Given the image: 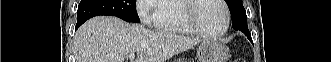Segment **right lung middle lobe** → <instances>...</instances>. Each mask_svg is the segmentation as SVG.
<instances>
[{"label": "right lung middle lobe", "instance_id": "obj_1", "mask_svg": "<svg viewBox=\"0 0 331 62\" xmlns=\"http://www.w3.org/2000/svg\"><path fill=\"white\" fill-rule=\"evenodd\" d=\"M136 0H81L77 11V25L98 15L119 17L127 22H140Z\"/></svg>", "mask_w": 331, "mask_h": 62}]
</instances>
